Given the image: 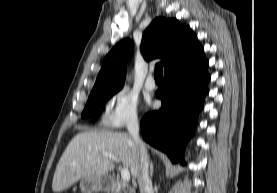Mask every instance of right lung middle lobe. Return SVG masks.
<instances>
[{
    "mask_svg": "<svg viewBox=\"0 0 277 193\" xmlns=\"http://www.w3.org/2000/svg\"><path fill=\"white\" fill-rule=\"evenodd\" d=\"M116 91H103L94 94H90L89 99L86 103L85 109L82 113V117H89L94 115L100 108V106L105 103Z\"/></svg>",
    "mask_w": 277,
    "mask_h": 193,
    "instance_id": "dd1d6c3e",
    "label": "right lung middle lobe"
}]
</instances>
